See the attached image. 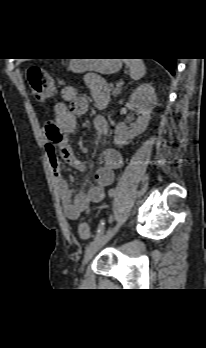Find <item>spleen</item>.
Segmentation results:
<instances>
[{
	"label": "spleen",
	"mask_w": 206,
	"mask_h": 348,
	"mask_svg": "<svg viewBox=\"0 0 206 348\" xmlns=\"http://www.w3.org/2000/svg\"><path fill=\"white\" fill-rule=\"evenodd\" d=\"M124 62L129 67L133 80H139L145 75L146 67L141 59H124Z\"/></svg>",
	"instance_id": "obj_1"
}]
</instances>
